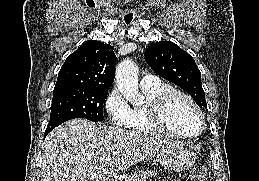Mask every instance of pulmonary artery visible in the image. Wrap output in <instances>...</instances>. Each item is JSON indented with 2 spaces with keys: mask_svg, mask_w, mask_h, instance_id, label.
<instances>
[{
  "mask_svg": "<svg viewBox=\"0 0 259 181\" xmlns=\"http://www.w3.org/2000/svg\"><path fill=\"white\" fill-rule=\"evenodd\" d=\"M160 82L159 78L155 75H144L140 81L141 87L151 86Z\"/></svg>",
  "mask_w": 259,
  "mask_h": 181,
  "instance_id": "obj_1",
  "label": "pulmonary artery"
}]
</instances>
